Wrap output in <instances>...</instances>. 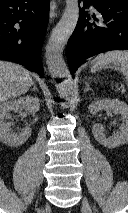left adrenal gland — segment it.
<instances>
[{
  "instance_id": "1",
  "label": "left adrenal gland",
  "mask_w": 128,
  "mask_h": 213,
  "mask_svg": "<svg viewBox=\"0 0 128 213\" xmlns=\"http://www.w3.org/2000/svg\"><path fill=\"white\" fill-rule=\"evenodd\" d=\"M86 88L84 89V92L86 93L87 91H92V89L90 88V85L85 82Z\"/></svg>"
}]
</instances>
